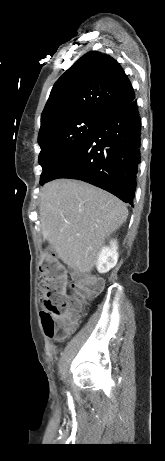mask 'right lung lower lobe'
<instances>
[{"label":"right lung lower lobe","mask_w":165,"mask_h":461,"mask_svg":"<svg viewBox=\"0 0 165 461\" xmlns=\"http://www.w3.org/2000/svg\"><path fill=\"white\" fill-rule=\"evenodd\" d=\"M140 149L141 119L134 99L104 116L46 182L58 178L82 180L132 204Z\"/></svg>","instance_id":"right-lung-lower-lobe-1"}]
</instances>
